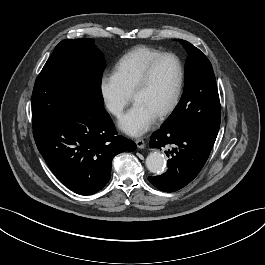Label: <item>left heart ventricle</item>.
<instances>
[{
    "mask_svg": "<svg viewBox=\"0 0 265 265\" xmlns=\"http://www.w3.org/2000/svg\"><path fill=\"white\" fill-rule=\"evenodd\" d=\"M178 81V68L172 58L161 60L154 68L146 88L133 102L140 104L155 117L172 101Z\"/></svg>",
    "mask_w": 265,
    "mask_h": 265,
    "instance_id": "left-heart-ventricle-1",
    "label": "left heart ventricle"
}]
</instances>
